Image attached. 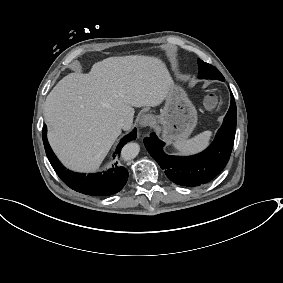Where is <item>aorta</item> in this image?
Returning a JSON list of instances; mask_svg holds the SVG:
<instances>
[{
  "instance_id": "762f6f07",
  "label": "aorta",
  "mask_w": 283,
  "mask_h": 283,
  "mask_svg": "<svg viewBox=\"0 0 283 283\" xmlns=\"http://www.w3.org/2000/svg\"><path fill=\"white\" fill-rule=\"evenodd\" d=\"M140 147L137 143L131 142L127 143L123 148H122V158L124 160H131L134 159L138 153H139Z\"/></svg>"
}]
</instances>
